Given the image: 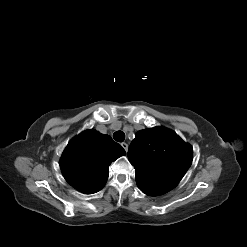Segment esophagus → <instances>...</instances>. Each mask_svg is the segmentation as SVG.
I'll return each mask as SVG.
<instances>
[{
    "label": "esophagus",
    "instance_id": "esophagus-1",
    "mask_svg": "<svg viewBox=\"0 0 247 247\" xmlns=\"http://www.w3.org/2000/svg\"><path fill=\"white\" fill-rule=\"evenodd\" d=\"M121 146H122L123 149L127 152V150H128V144L125 143V142H123V143H121Z\"/></svg>",
    "mask_w": 247,
    "mask_h": 247
}]
</instances>
